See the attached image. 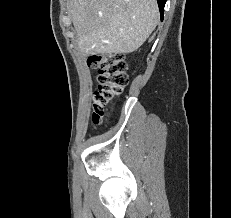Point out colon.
I'll return each instance as SVG.
<instances>
[{"label":"colon","instance_id":"5ec220e1","mask_svg":"<svg viewBox=\"0 0 231 218\" xmlns=\"http://www.w3.org/2000/svg\"><path fill=\"white\" fill-rule=\"evenodd\" d=\"M88 65L98 71V87L94 92L92 122L99 125L106 117V107L128 82L127 64L121 54L92 55Z\"/></svg>","mask_w":231,"mask_h":218}]
</instances>
